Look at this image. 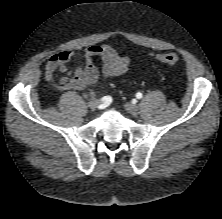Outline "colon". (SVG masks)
<instances>
[{
	"label": "colon",
	"mask_w": 222,
	"mask_h": 219,
	"mask_svg": "<svg viewBox=\"0 0 222 219\" xmlns=\"http://www.w3.org/2000/svg\"><path fill=\"white\" fill-rule=\"evenodd\" d=\"M155 59L163 64L175 65L179 62V55L175 52H165L155 55Z\"/></svg>",
	"instance_id": "colon-1"
}]
</instances>
